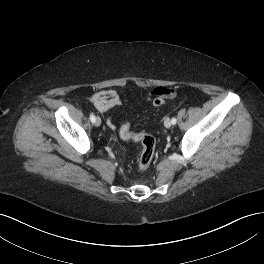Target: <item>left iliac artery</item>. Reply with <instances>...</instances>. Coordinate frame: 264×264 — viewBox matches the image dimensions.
<instances>
[{"mask_svg": "<svg viewBox=\"0 0 264 264\" xmlns=\"http://www.w3.org/2000/svg\"><path fill=\"white\" fill-rule=\"evenodd\" d=\"M171 122H172V124H176V122H177L176 118H172Z\"/></svg>", "mask_w": 264, "mask_h": 264, "instance_id": "obj_1", "label": "left iliac artery"}]
</instances>
